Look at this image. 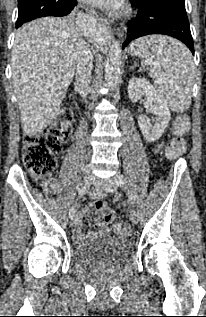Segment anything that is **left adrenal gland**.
I'll use <instances>...</instances> for the list:
<instances>
[{
	"instance_id": "obj_1",
	"label": "left adrenal gland",
	"mask_w": 206,
	"mask_h": 317,
	"mask_svg": "<svg viewBox=\"0 0 206 317\" xmlns=\"http://www.w3.org/2000/svg\"><path fill=\"white\" fill-rule=\"evenodd\" d=\"M135 66H136V64H134V65L132 66V68L135 67Z\"/></svg>"
}]
</instances>
